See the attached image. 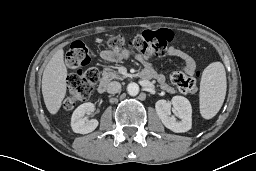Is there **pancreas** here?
I'll use <instances>...</instances> for the list:
<instances>
[{
	"label": "pancreas",
	"instance_id": "obj_1",
	"mask_svg": "<svg viewBox=\"0 0 256 171\" xmlns=\"http://www.w3.org/2000/svg\"><path fill=\"white\" fill-rule=\"evenodd\" d=\"M125 76L118 75L110 68H105L102 72V82H109L113 79L123 80Z\"/></svg>",
	"mask_w": 256,
	"mask_h": 171
}]
</instances>
